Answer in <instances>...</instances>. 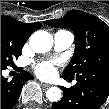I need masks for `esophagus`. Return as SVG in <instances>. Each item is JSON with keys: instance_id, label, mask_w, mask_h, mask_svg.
Segmentation results:
<instances>
[{"instance_id": "1", "label": "esophagus", "mask_w": 109, "mask_h": 109, "mask_svg": "<svg viewBox=\"0 0 109 109\" xmlns=\"http://www.w3.org/2000/svg\"><path fill=\"white\" fill-rule=\"evenodd\" d=\"M42 86L44 87V88H49L50 87V85L49 84H42Z\"/></svg>"}]
</instances>
